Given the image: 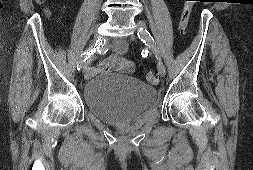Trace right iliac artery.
Segmentation results:
<instances>
[{
  "instance_id": "1",
  "label": "right iliac artery",
  "mask_w": 253,
  "mask_h": 170,
  "mask_svg": "<svg viewBox=\"0 0 253 170\" xmlns=\"http://www.w3.org/2000/svg\"><path fill=\"white\" fill-rule=\"evenodd\" d=\"M101 41V42H100ZM100 45H102V40L98 38L96 43L92 48H89L87 51L81 54L79 61L77 62V69L80 70L82 63L85 62L89 57H91L96 51H99Z\"/></svg>"
}]
</instances>
